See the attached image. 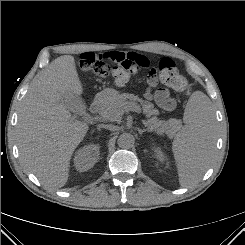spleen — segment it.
I'll return each mask as SVG.
<instances>
[{"instance_id":"spleen-1","label":"spleen","mask_w":245,"mask_h":245,"mask_svg":"<svg viewBox=\"0 0 245 245\" xmlns=\"http://www.w3.org/2000/svg\"><path fill=\"white\" fill-rule=\"evenodd\" d=\"M184 128L176 135L172 150L179 183L188 187L198 182L208 169L216 142L211 100L201 91L190 96L184 111Z\"/></svg>"}]
</instances>
